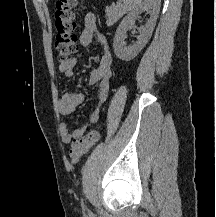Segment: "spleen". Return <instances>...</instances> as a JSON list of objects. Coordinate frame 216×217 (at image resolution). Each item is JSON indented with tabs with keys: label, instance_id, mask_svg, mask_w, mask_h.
Masks as SVG:
<instances>
[{
	"label": "spleen",
	"instance_id": "obj_1",
	"mask_svg": "<svg viewBox=\"0 0 216 217\" xmlns=\"http://www.w3.org/2000/svg\"><path fill=\"white\" fill-rule=\"evenodd\" d=\"M142 0H123L124 8L126 10H133L135 9Z\"/></svg>",
	"mask_w": 216,
	"mask_h": 217
}]
</instances>
